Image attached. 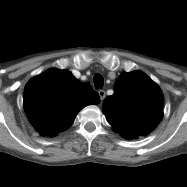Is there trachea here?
<instances>
[{
    "label": "trachea",
    "instance_id": "3493384b",
    "mask_svg": "<svg viewBox=\"0 0 187 187\" xmlns=\"http://www.w3.org/2000/svg\"><path fill=\"white\" fill-rule=\"evenodd\" d=\"M93 82L95 85V89H102L103 88L104 79H103L102 75L95 74V76L93 77Z\"/></svg>",
    "mask_w": 187,
    "mask_h": 187
}]
</instances>
